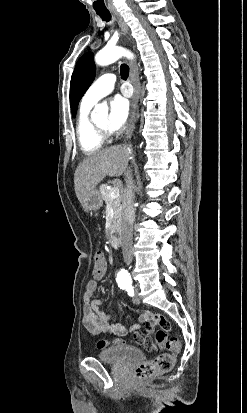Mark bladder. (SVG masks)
<instances>
[{"label": "bladder", "mask_w": 247, "mask_h": 413, "mask_svg": "<svg viewBox=\"0 0 247 413\" xmlns=\"http://www.w3.org/2000/svg\"><path fill=\"white\" fill-rule=\"evenodd\" d=\"M144 352L139 349L132 348L128 345L121 347H108L104 352L98 353L97 359L105 362H116L126 364L130 360L143 359Z\"/></svg>", "instance_id": "31cf9c89"}]
</instances>
